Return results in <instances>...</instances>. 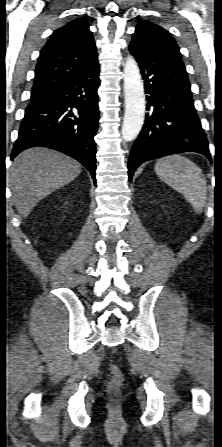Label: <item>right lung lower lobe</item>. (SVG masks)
<instances>
[{"instance_id":"1","label":"right lung lower lobe","mask_w":222,"mask_h":447,"mask_svg":"<svg viewBox=\"0 0 222 447\" xmlns=\"http://www.w3.org/2000/svg\"><path fill=\"white\" fill-rule=\"evenodd\" d=\"M99 83L96 61L49 96L31 102L25 110L11 159L30 147L51 148L82 163L95 182Z\"/></svg>"}]
</instances>
